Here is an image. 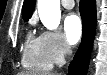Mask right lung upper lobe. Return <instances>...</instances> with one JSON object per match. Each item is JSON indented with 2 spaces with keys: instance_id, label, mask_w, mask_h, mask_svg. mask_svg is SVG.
Segmentation results:
<instances>
[{
  "instance_id": "obj_1",
  "label": "right lung upper lobe",
  "mask_w": 107,
  "mask_h": 75,
  "mask_svg": "<svg viewBox=\"0 0 107 75\" xmlns=\"http://www.w3.org/2000/svg\"><path fill=\"white\" fill-rule=\"evenodd\" d=\"M35 0H24L23 8H22V16L25 21H27L34 11Z\"/></svg>"
}]
</instances>
